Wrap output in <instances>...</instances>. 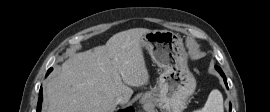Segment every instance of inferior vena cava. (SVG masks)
Here are the masks:
<instances>
[{
	"instance_id": "602c4592",
	"label": "inferior vena cava",
	"mask_w": 270,
	"mask_h": 112,
	"mask_svg": "<svg viewBox=\"0 0 270 112\" xmlns=\"http://www.w3.org/2000/svg\"><path fill=\"white\" fill-rule=\"evenodd\" d=\"M116 104H124L127 102L126 98L122 95H118L115 97Z\"/></svg>"
}]
</instances>
